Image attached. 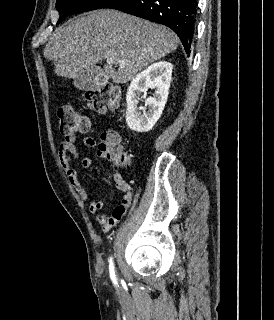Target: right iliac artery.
I'll return each instance as SVG.
<instances>
[{"instance_id": "1", "label": "right iliac artery", "mask_w": 274, "mask_h": 320, "mask_svg": "<svg viewBox=\"0 0 274 320\" xmlns=\"http://www.w3.org/2000/svg\"><path fill=\"white\" fill-rule=\"evenodd\" d=\"M109 272H110V277H111V279H112L114 282H116L115 270H114V263H113L112 257L110 258V261H109Z\"/></svg>"}]
</instances>
